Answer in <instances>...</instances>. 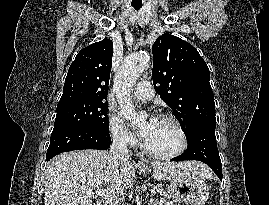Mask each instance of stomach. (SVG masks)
Listing matches in <instances>:
<instances>
[{
    "label": "stomach",
    "instance_id": "1",
    "mask_svg": "<svg viewBox=\"0 0 269 205\" xmlns=\"http://www.w3.org/2000/svg\"><path fill=\"white\" fill-rule=\"evenodd\" d=\"M150 171L149 167H143ZM171 194L186 205H204L209 197L208 186L204 179L192 171L178 169L169 174Z\"/></svg>",
    "mask_w": 269,
    "mask_h": 205
}]
</instances>
